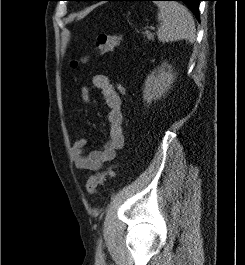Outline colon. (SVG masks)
Returning a JSON list of instances; mask_svg holds the SVG:
<instances>
[{"label": "colon", "instance_id": "5ec220e1", "mask_svg": "<svg viewBox=\"0 0 245 265\" xmlns=\"http://www.w3.org/2000/svg\"><path fill=\"white\" fill-rule=\"evenodd\" d=\"M122 36L119 34H105L102 33L97 36L93 44V52L97 54H106L113 51L115 48L121 45ZM89 59V55L80 57L79 59L71 62L72 67H77L79 63H85ZM118 90L120 93H126V86L123 83L118 84ZM113 173V168H109L105 171L97 172L92 175L87 183L86 190L89 194H96L100 184L103 182L106 176H110Z\"/></svg>", "mask_w": 245, "mask_h": 265}]
</instances>
